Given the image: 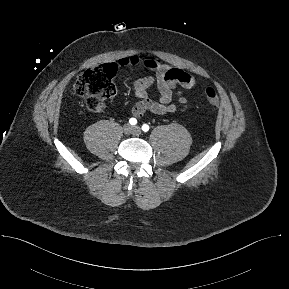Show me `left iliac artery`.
<instances>
[{
  "mask_svg": "<svg viewBox=\"0 0 289 289\" xmlns=\"http://www.w3.org/2000/svg\"><path fill=\"white\" fill-rule=\"evenodd\" d=\"M142 130H143L144 132H147V131L149 130V126H148L147 124H143V125H142Z\"/></svg>",
  "mask_w": 289,
  "mask_h": 289,
  "instance_id": "left-iliac-artery-1",
  "label": "left iliac artery"
}]
</instances>
